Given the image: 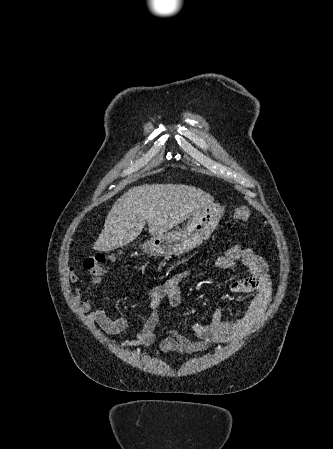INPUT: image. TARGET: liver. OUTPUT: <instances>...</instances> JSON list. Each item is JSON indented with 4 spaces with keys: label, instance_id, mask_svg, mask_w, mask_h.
<instances>
[{
    "label": "liver",
    "instance_id": "1",
    "mask_svg": "<svg viewBox=\"0 0 333 449\" xmlns=\"http://www.w3.org/2000/svg\"><path fill=\"white\" fill-rule=\"evenodd\" d=\"M214 198L203 190L182 184H146L124 193L112 206L94 249L108 252L123 247L142 232L159 236L193 216Z\"/></svg>",
    "mask_w": 333,
    "mask_h": 449
}]
</instances>
